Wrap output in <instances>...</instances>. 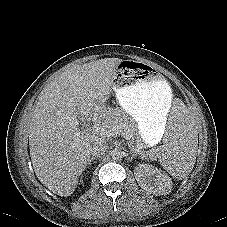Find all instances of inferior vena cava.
I'll return each mask as SVG.
<instances>
[{
	"instance_id": "602c4592",
	"label": "inferior vena cava",
	"mask_w": 227,
	"mask_h": 227,
	"mask_svg": "<svg viewBox=\"0 0 227 227\" xmlns=\"http://www.w3.org/2000/svg\"><path fill=\"white\" fill-rule=\"evenodd\" d=\"M108 148V144L102 138H97L90 146L89 151L92 156L100 157Z\"/></svg>"
}]
</instances>
